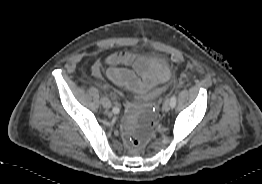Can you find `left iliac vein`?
<instances>
[{
  "mask_svg": "<svg viewBox=\"0 0 262 184\" xmlns=\"http://www.w3.org/2000/svg\"><path fill=\"white\" fill-rule=\"evenodd\" d=\"M170 101L169 99H166L163 104V111L168 112L170 110Z\"/></svg>",
  "mask_w": 262,
  "mask_h": 184,
  "instance_id": "obj_1",
  "label": "left iliac vein"
}]
</instances>
